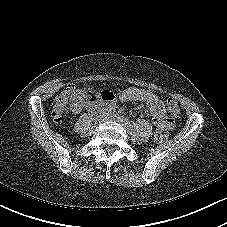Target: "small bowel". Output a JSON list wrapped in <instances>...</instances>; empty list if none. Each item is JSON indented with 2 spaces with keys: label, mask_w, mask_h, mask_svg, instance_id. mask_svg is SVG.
Returning a JSON list of instances; mask_svg holds the SVG:
<instances>
[{
  "label": "small bowel",
  "mask_w": 227,
  "mask_h": 227,
  "mask_svg": "<svg viewBox=\"0 0 227 227\" xmlns=\"http://www.w3.org/2000/svg\"><path fill=\"white\" fill-rule=\"evenodd\" d=\"M120 99L122 101L145 103L152 114V122L156 127L165 129L171 127V122L166 117L165 105L156 94L145 89L131 87L121 94Z\"/></svg>",
  "instance_id": "1"
}]
</instances>
